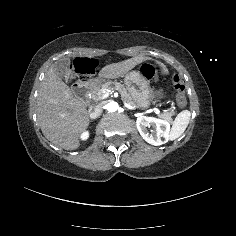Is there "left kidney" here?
<instances>
[{
    "label": "left kidney",
    "mask_w": 236,
    "mask_h": 236,
    "mask_svg": "<svg viewBox=\"0 0 236 236\" xmlns=\"http://www.w3.org/2000/svg\"><path fill=\"white\" fill-rule=\"evenodd\" d=\"M154 127L153 131L148 130V126ZM137 128L140 135L150 144L158 146L169 140L171 124L167 120L156 117L141 116L137 118ZM161 137L164 138L162 141Z\"/></svg>",
    "instance_id": "left-kidney-1"
}]
</instances>
